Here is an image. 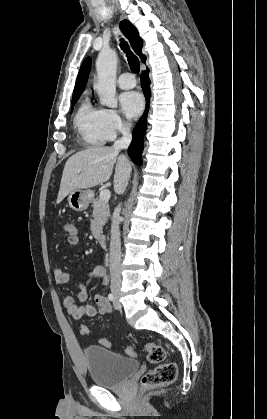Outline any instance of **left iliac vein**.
Segmentation results:
<instances>
[{"label":"left iliac vein","instance_id":"obj_1","mask_svg":"<svg viewBox=\"0 0 267 419\" xmlns=\"http://www.w3.org/2000/svg\"><path fill=\"white\" fill-rule=\"evenodd\" d=\"M114 307H115V309H119L120 308V303L118 301V298H116V300L114 301Z\"/></svg>","mask_w":267,"mask_h":419}]
</instances>
